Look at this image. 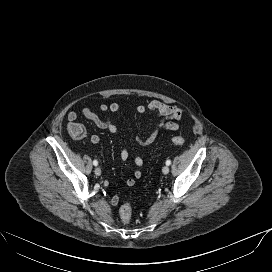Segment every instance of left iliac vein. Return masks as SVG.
Segmentation results:
<instances>
[{"instance_id":"obj_1","label":"left iliac vein","mask_w":272,"mask_h":272,"mask_svg":"<svg viewBox=\"0 0 272 272\" xmlns=\"http://www.w3.org/2000/svg\"><path fill=\"white\" fill-rule=\"evenodd\" d=\"M162 172H163V174H168L169 173V167L168 166H164L163 168H162Z\"/></svg>"}]
</instances>
